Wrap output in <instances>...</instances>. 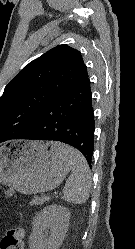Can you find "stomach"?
Returning <instances> with one entry per match:
<instances>
[{
    "instance_id": "1",
    "label": "stomach",
    "mask_w": 135,
    "mask_h": 249,
    "mask_svg": "<svg viewBox=\"0 0 135 249\" xmlns=\"http://www.w3.org/2000/svg\"><path fill=\"white\" fill-rule=\"evenodd\" d=\"M51 146L47 141H14L1 146L0 182L26 195L57 187L71 167Z\"/></svg>"
}]
</instances>
